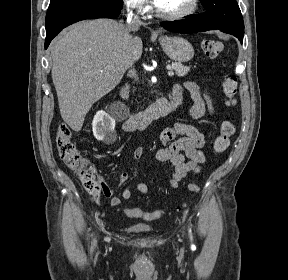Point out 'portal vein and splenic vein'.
<instances>
[{"label":"portal vein and splenic vein","instance_id":"1","mask_svg":"<svg viewBox=\"0 0 288 280\" xmlns=\"http://www.w3.org/2000/svg\"><path fill=\"white\" fill-rule=\"evenodd\" d=\"M167 69H168V75L169 76L174 75V72L172 71V69L170 67H167Z\"/></svg>","mask_w":288,"mask_h":280}]
</instances>
